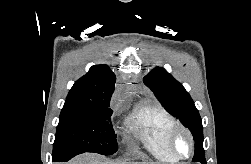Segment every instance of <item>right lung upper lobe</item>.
Listing matches in <instances>:
<instances>
[{
    "mask_svg": "<svg viewBox=\"0 0 251 164\" xmlns=\"http://www.w3.org/2000/svg\"><path fill=\"white\" fill-rule=\"evenodd\" d=\"M115 81L116 76L107 65L92 66L86 75L74 83L67 99L110 103Z\"/></svg>",
    "mask_w": 251,
    "mask_h": 164,
    "instance_id": "obj_1",
    "label": "right lung upper lobe"
}]
</instances>
